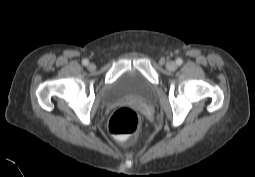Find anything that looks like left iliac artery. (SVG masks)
<instances>
[{"mask_svg":"<svg viewBox=\"0 0 255 177\" xmlns=\"http://www.w3.org/2000/svg\"><path fill=\"white\" fill-rule=\"evenodd\" d=\"M176 63H177V65H182L183 60H182L181 58H178V59L176 60Z\"/></svg>","mask_w":255,"mask_h":177,"instance_id":"obj_1","label":"left iliac artery"}]
</instances>
